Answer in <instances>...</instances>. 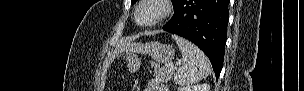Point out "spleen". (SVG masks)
I'll use <instances>...</instances> for the list:
<instances>
[{"instance_id":"3e777b00","label":"spleen","mask_w":304,"mask_h":91,"mask_svg":"<svg viewBox=\"0 0 304 91\" xmlns=\"http://www.w3.org/2000/svg\"><path fill=\"white\" fill-rule=\"evenodd\" d=\"M182 54V61L174 76V82L179 86L191 85L206 78L211 72V64L207 56L194 44L174 36Z\"/></svg>"}]
</instances>
